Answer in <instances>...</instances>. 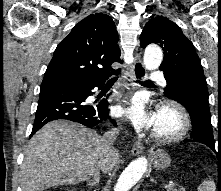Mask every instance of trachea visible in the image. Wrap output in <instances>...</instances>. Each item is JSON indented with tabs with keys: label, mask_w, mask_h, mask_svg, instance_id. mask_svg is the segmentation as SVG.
Masks as SVG:
<instances>
[{
	"label": "trachea",
	"mask_w": 221,
	"mask_h": 191,
	"mask_svg": "<svg viewBox=\"0 0 221 191\" xmlns=\"http://www.w3.org/2000/svg\"><path fill=\"white\" fill-rule=\"evenodd\" d=\"M116 80H117V77H112L111 79H109V80L107 81V84H114V82H115ZM145 83H146V84H151V82L148 81V80H146Z\"/></svg>",
	"instance_id": "3493384b"
}]
</instances>
